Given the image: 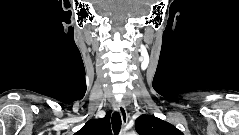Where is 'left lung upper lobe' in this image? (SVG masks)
<instances>
[{"mask_svg": "<svg viewBox=\"0 0 239 135\" xmlns=\"http://www.w3.org/2000/svg\"><path fill=\"white\" fill-rule=\"evenodd\" d=\"M135 128L139 135H183L172 124L151 115L138 117Z\"/></svg>", "mask_w": 239, "mask_h": 135, "instance_id": "obj_1", "label": "left lung upper lobe"}]
</instances>
